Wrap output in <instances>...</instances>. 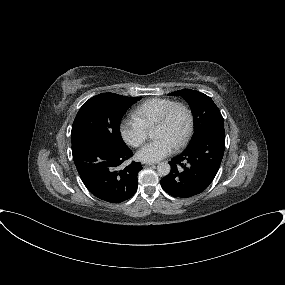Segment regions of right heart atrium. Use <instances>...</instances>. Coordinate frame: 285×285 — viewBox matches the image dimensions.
I'll list each match as a JSON object with an SVG mask.
<instances>
[{
	"instance_id": "1",
	"label": "right heart atrium",
	"mask_w": 285,
	"mask_h": 285,
	"mask_svg": "<svg viewBox=\"0 0 285 285\" xmlns=\"http://www.w3.org/2000/svg\"><path fill=\"white\" fill-rule=\"evenodd\" d=\"M123 140L132 147H139L147 138L148 130L134 114L125 116L119 126Z\"/></svg>"
}]
</instances>
